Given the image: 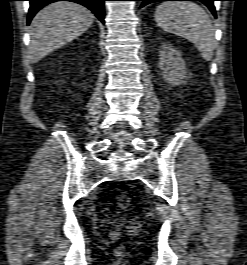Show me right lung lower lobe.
Here are the masks:
<instances>
[{
	"label": "right lung lower lobe",
	"mask_w": 247,
	"mask_h": 265,
	"mask_svg": "<svg viewBox=\"0 0 247 265\" xmlns=\"http://www.w3.org/2000/svg\"><path fill=\"white\" fill-rule=\"evenodd\" d=\"M30 8L28 13L27 24L30 23L34 15L44 6L56 1H71L79 3L90 9L96 17L104 24V2L106 0H28Z\"/></svg>",
	"instance_id": "obj_1"
}]
</instances>
